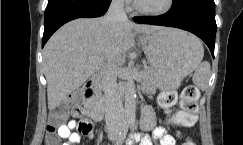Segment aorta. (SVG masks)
<instances>
[{
  "label": "aorta",
  "instance_id": "aorta-1",
  "mask_svg": "<svg viewBox=\"0 0 243 145\" xmlns=\"http://www.w3.org/2000/svg\"><path fill=\"white\" fill-rule=\"evenodd\" d=\"M136 112V87L132 77H129L125 91V119L133 122Z\"/></svg>",
  "mask_w": 243,
  "mask_h": 145
}]
</instances>
